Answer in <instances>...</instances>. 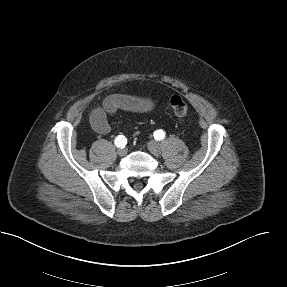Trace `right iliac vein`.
<instances>
[{"label":"right iliac vein","mask_w":287,"mask_h":287,"mask_svg":"<svg viewBox=\"0 0 287 287\" xmlns=\"http://www.w3.org/2000/svg\"><path fill=\"white\" fill-rule=\"evenodd\" d=\"M117 154H118L119 156H125V155L127 154V149H126V148H119V149L117 150Z\"/></svg>","instance_id":"right-iliac-vein-1"}]
</instances>
